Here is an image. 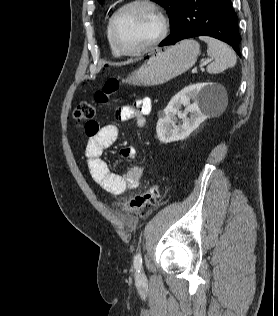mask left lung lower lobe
I'll list each match as a JSON object with an SVG mask.
<instances>
[{"label": "left lung lower lobe", "mask_w": 278, "mask_h": 316, "mask_svg": "<svg viewBox=\"0 0 278 316\" xmlns=\"http://www.w3.org/2000/svg\"><path fill=\"white\" fill-rule=\"evenodd\" d=\"M195 36L224 41L240 56L238 17L231 0H185L171 34L159 45H171Z\"/></svg>", "instance_id": "left-lung-lower-lobe-1"}]
</instances>
